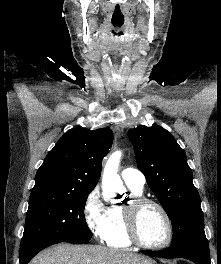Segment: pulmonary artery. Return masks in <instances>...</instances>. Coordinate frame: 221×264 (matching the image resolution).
I'll use <instances>...</instances> for the list:
<instances>
[{
  "label": "pulmonary artery",
  "instance_id": "1",
  "mask_svg": "<svg viewBox=\"0 0 221 264\" xmlns=\"http://www.w3.org/2000/svg\"><path fill=\"white\" fill-rule=\"evenodd\" d=\"M121 177L128 186L139 190L143 189L146 182L144 174L140 170L133 167L123 169Z\"/></svg>",
  "mask_w": 221,
  "mask_h": 264
}]
</instances>
